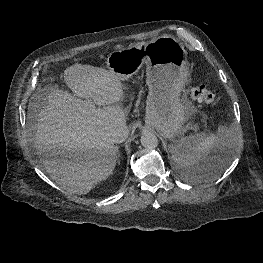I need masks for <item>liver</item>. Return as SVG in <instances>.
I'll return each instance as SVG.
<instances>
[{
  "mask_svg": "<svg viewBox=\"0 0 263 263\" xmlns=\"http://www.w3.org/2000/svg\"><path fill=\"white\" fill-rule=\"evenodd\" d=\"M64 80L74 95L49 89L35 124V147L57 185L87 194L115 169L118 153L111 133L126 126L125 111L117 105L123 85L109 71L79 63L65 69ZM85 99L104 107H90Z\"/></svg>",
  "mask_w": 263,
  "mask_h": 263,
  "instance_id": "liver-1",
  "label": "liver"
}]
</instances>
